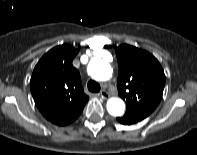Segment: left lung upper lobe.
<instances>
[{"mask_svg":"<svg viewBox=\"0 0 197 155\" xmlns=\"http://www.w3.org/2000/svg\"><path fill=\"white\" fill-rule=\"evenodd\" d=\"M115 52L119 64L118 95L126 100L127 106L124 116L139 122L155 110L162 98L164 71L145 50L121 45Z\"/></svg>","mask_w":197,"mask_h":155,"instance_id":"obj_1","label":"left lung upper lobe"}]
</instances>
